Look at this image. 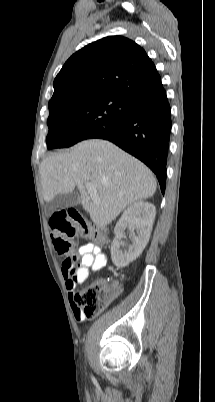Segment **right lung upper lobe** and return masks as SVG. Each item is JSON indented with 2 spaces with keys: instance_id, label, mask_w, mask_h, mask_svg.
<instances>
[{
  "instance_id": "1",
  "label": "right lung upper lobe",
  "mask_w": 215,
  "mask_h": 402,
  "mask_svg": "<svg viewBox=\"0 0 215 402\" xmlns=\"http://www.w3.org/2000/svg\"><path fill=\"white\" fill-rule=\"evenodd\" d=\"M53 86L51 100L110 94L133 101L164 89L144 49L122 36L105 37L73 54Z\"/></svg>"
}]
</instances>
